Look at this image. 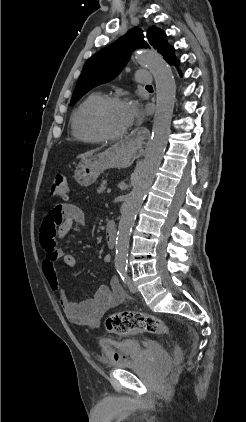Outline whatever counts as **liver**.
Returning a JSON list of instances; mask_svg holds the SVG:
<instances>
[{
    "mask_svg": "<svg viewBox=\"0 0 246 422\" xmlns=\"http://www.w3.org/2000/svg\"><path fill=\"white\" fill-rule=\"evenodd\" d=\"M99 149H100V148L95 149V150H90V151H87V152H85V153H83V154L78 155V156H77V158L84 159V158H86V157H89V156H91L94 152L98 151Z\"/></svg>",
    "mask_w": 246,
    "mask_h": 422,
    "instance_id": "obj_1",
    "label": "liver"
}]
</instances>
